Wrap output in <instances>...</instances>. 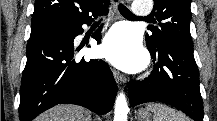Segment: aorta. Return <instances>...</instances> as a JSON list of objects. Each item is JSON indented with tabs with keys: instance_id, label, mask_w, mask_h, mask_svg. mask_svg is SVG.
<instances>
[{
	"instance_id": "1",
	"label": "aorta",
	"mask_w": 217,
	"mask_h": 121,
	"mask_svg": "<svg viewBox=\"0 0 217 121\" xmlns=\"http://www.w3.org/2000/svg\"><path fill=\"white\" fill-rule=\"evenodd\" d=\"M128 112L126 97L123 93H120L115 101L114 121H127Z\"/></svg>"
}]
</instances>
